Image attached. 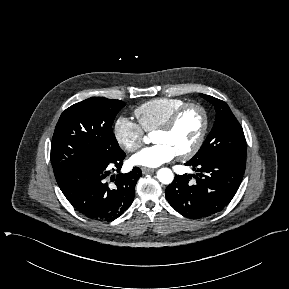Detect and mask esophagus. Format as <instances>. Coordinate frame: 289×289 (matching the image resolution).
<instances>
[{
    "instance_id": "esophagus-1",
    "label": "esophagus",
    "mask_w": 289,
    "mask_h": 289,
    "mask_svg": "<svg viewBox=\"0 0 289 289\" xmlns=\"http://www.w3.org/2000/svg\"><path fill=\"white\" fill-rule=\"evenodd\" d=\"M156 169L154 168H147V167H142L141 168V171L143 174H147V173H151V172H154Z\"/></svg>"
}]
</instances>
